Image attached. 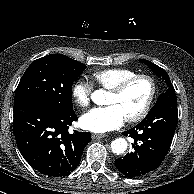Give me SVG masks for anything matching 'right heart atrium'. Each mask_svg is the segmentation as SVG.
<instances>
[{"mask_svg":"<svg viewBox=\"0 0 194 194\" xmlns=\"http://www.w3.org/2000/svg\"><path fill=\"white\" fill-rule=\"evenodd\" d=\"M92 85L83 78L77 79L71 87V97L73 102L80 108H86L91 99Z\"/></svg>","mask_w":194,"mask_h":194,"instance_id":"right-heart-atrium-1","label":"right heart atrium"}]
</instances>
